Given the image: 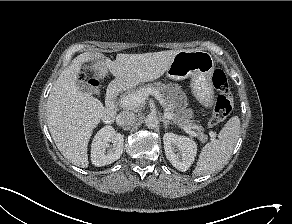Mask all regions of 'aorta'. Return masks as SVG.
Segmentation results:
<instances>
[{"label":"aorta","mask_w":292,"mask_h":224,"mask_svg":"<svg viewBox=\"0 0 292 224\" xmlns=\"http://www.w3.org/2000/svg\"><path fill=\"white\" fill-rule=\"evenodd\" d=\"M145 123L149 129H153V128H156L158 126L159 120H158L157 116L150 114L147 116Z\"/></svg>","instance_id":"aorta-1"}]
</instances>
